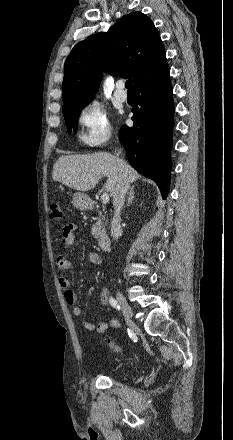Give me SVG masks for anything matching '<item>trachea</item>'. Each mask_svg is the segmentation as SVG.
Returning a JSON list of instances; mask_svg holds the SVG:
<instances>
[{"label": "trachea", "mask_w": 233, "mask_h": 440, "mask_svg": "<svg viewBox=\"0 0 233 440\" xmlns=\"http://www.w3.org/2000/svg\"><path fill=\"white\" fill-rule=\"evenodd\" d=\"M125 87H126L127 90L130 91V92H133V91H134V89H133V81H132V79H129V80L126 81V83H125Z\"/></svg>", "instance_id": "3493384b"}]
</instances>
